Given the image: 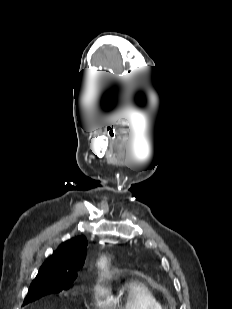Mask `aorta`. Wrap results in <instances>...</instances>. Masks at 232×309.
I'll return each mask as SVG.
<instances>
[{"mask_svg":"<svg viewBox=\"0 0 232 309\" xmlns=\"http://www.w3.org/2000/svg\"><path fill=\"white\" fill-rule=\"evenodd\" d=\"M100 266H101L102 268H105V266H106V259H105V258H102V259H101V261H100Z\"/></svg>","mask_w":232,"mask_h":309,"instance_id":"1","label":"aorta"}]
</instances>
